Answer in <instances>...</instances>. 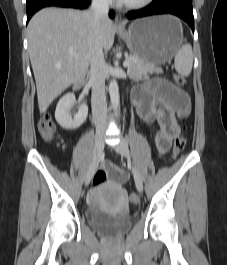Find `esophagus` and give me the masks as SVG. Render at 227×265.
I'll use <instances>...</instances> for the list:
<instances>
[{"label":"esophagus","mask_w":227,"mask_h":265,"mask_svg":"<svg viewBox=\"0 0 227 265\" xmlns=\"http://www.w3.org/2000/svg\"><path fill=\"white\" fill-rule=\"evenodd\" d=\"M115 27H116L117 29H124V27H125V24H124V22L122 21L120 15H116V18H115Z\"/></svg>","instance_id":"obj_1"}]
</instances>
